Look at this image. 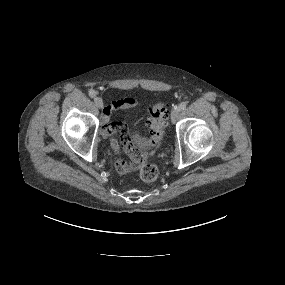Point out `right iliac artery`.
<instances>
[{"label": "right iliac artery", "mask_w": 285, "mask_h": 285, "mask_svg": "<svg viewBox=\"0 0 285 285\" xmlns=\"http://www.w3.org/2000/svg\"><path fill=\"white\" fill-rule=\"evenodd\" d=\"M89 96L92 97V98L95 97L96 96V92L94 90H90L89 91Z\"/></svg>", "instance_id": "right-iliac-artery-1"}]
</instances>
